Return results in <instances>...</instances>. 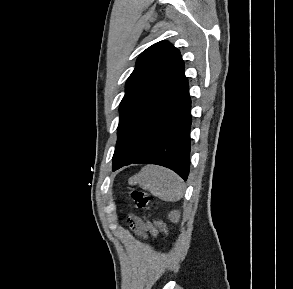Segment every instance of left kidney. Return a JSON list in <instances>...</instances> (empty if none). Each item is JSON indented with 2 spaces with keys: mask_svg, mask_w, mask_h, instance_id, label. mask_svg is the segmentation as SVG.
Segmentation results:
<instances>
[{
  "mask_svg": "<svg viewBox=\"0 0 293 289\" xmlns=\"http://www.w3.org/2000/svg\"><path fill=\"white\" fill-rule=\"evenodd\" d=\"M178 217H179V212H178V211H172V212L169 214V218H170L171 220H176V219H178Z\"/></svg>",
  "mask_w": 293,
  "mask_h": 289,
  "instance_id": "5707ae66",
  "label": "left kidney"
}]
</instances>
